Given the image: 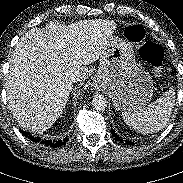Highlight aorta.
<instances>
[{"instance_id": "obj_1", "label": "aorta", "mask_w": 183, "mask_h": 183, "mask_svg": "<svg viewBox=\"0 0 183 183\" xmlns=\"http://www.w3.org/2000/svg\"><path fill=\"white\" fill-rule=\"evenodd\" d=\"M107 99L103 95H96L92 99V106L97 111H103L107 107Z\"/></svg>"}]
</instances>
